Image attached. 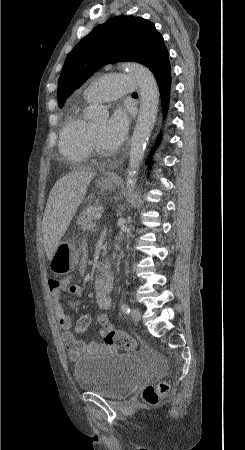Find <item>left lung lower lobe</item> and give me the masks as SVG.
<instances>
[{"instance_id":"left-lung-lower-lobe-1","label":"left lung lower lobe","mask_w":245,"mask_h":450,"mask_svg":"<svg viewBox=\"0 0 245 450\" xmlns=\"http://www.w3.org/2000/svg\"><path fill=\"white\" fill-rule=\"evenodd\" d=\"M153 74L156 78V81H157L159 89H160L163 112L166 113L167 107H168V102H169V96H170V86H171L169 61H166L161 66H159L156 70H154Z\"/></svg>"}]
</instances>
